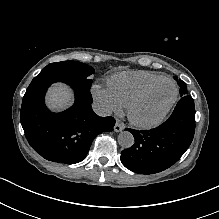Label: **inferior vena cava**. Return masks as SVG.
<instances>
[{"label": "inferior vena cava", "instance_id": "1", "mask_svg": "<svg viewBox=\"0 0 219 219\" xmlns=\"http://www.w3.org/2000/svg\"><path fill=\"white\" fill-rule=\"evenodd\" d=\"M94 112L102 117L111 115L112 111L105 103L94 102L92 104Z\"/></svg>", "mask_w": 219, "mask_h": 219}]
</instances>
